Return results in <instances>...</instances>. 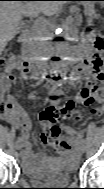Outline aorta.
I'll use <instances>...</instances> for the list:
<instances>
[{
  "label": "aorta",
  "mask_w": 104,
  "mask_h": 189,
  "mask_svg": "<svg viewBox=\"0 0 104 189\" xmlns=\"http://www.w3.org/2000/svg\"><path fill=\"white\" fill-rule=\"evenodd\" d=\"M67 30H68V26L65 25L63 28H62V33H60L59 35L56 36V51H57V54L60 58V61H58L55 65V69H56V73H55V78H56V82H63L64 80V76H66V63L64 62V59L69 55V47H68V44H67V38H68V35L67 34Z\"/></svg>",
  "instance_id": "762f6f07"
}]
</instances>
